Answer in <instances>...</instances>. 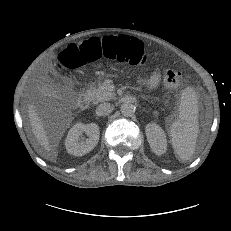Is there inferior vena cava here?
<instances>
[{
  "label": "inferior vena cava",
  "instance_id": "602c4592",
  "mask_svg": "<svg viewBox=\"0 0 231 231\" xmlns=\"http://www.w3.org/2000/svg\"><path fill=\"white\" fill-rule=\"evenodd\" d=\"M111 105L110 103H102L97 106L96 108V114L98 116L106 115L110 112Z\"/></svg>",
  "mask_w": 231,
  "mask_h": 231
}]
</instances>
